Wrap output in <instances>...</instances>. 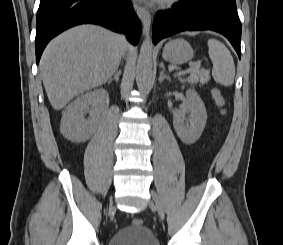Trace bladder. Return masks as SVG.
<instances>
[{
  "mask_svg": "<svg viewBox=\"0 0 283 245\" xmlns=\"http://www.w3.org/2000/svg\"><path fill=\"white\" fill-rule=\"evenodd\" d=\"M108 245H160L151 229L146 226H127L116 231Z\"/></svg>",
  "mask_w": 283,
  "mask_h": 245,
  "instance_id": "31cf9c89",
  "label": "bladder"
}]
</instances>
